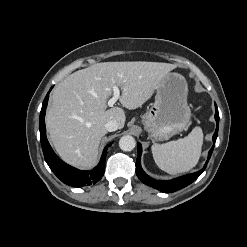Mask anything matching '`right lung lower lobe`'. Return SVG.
Instances as JSON below:
<instances>
[{
    "instance_id": "1",
    "label": "right lung lower lobe",
    "mask_w": 247,
    "mask_h": 247,
    "mask_svg": "<svg viewBox=\"0 0 247 247\" xmlns=\"http://www.w3.org/2000/svg\"><path fill=\"white\" fill-rule=\"evenodd\" d=\"M49 93L50 91L48 92V94L46 95L43 101L42 109L40 112V118H39V130H40V136H41L40 139H41V146H42L45 161L47 162L48 166L53 171V173L62 182H64L67 185L78 187V186L95 184L102 178L104 174L105 158L107 155L106 152H107L109 145L105 147L99 164L90 171L78 170L64 163L62 160H60L58 156L52 150L46 138V127H45L44 118H45L46 107H47V103L49 99Z\"/></svg>"
}]
</instances>
